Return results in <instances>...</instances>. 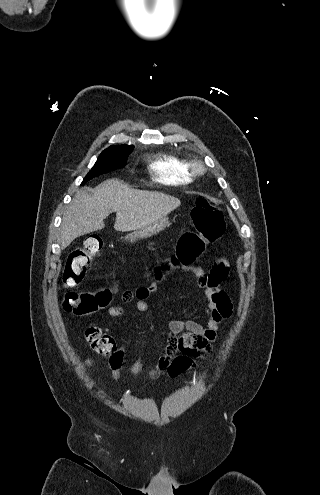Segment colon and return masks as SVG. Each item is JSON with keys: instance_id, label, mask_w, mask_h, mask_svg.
<instances>
[{"instance_id": "colon-1", "label": "colon", "mask_w": 320, "mask_h": 495, "mask_svg": "<svg viewBox=\"0 0 320 495\" xmlns=\"http://www.w3.org/2000/svg\"><path fill=\"white\" fill-rule=\"evenodd\" d=\"M194 228L183 231L176 245L175 253L169 256L154 270L157 279L174 266H189L198 261L208 250L210 244L221 239L225 233V222L220 208L204 197L196 200L191 211ZM103 247L100 235H89L81 246L76 248L68 257L62 283L67 289H74L80 285L91 268L95 256ZM113 289L96 292L68 291L65 293L62 306L66 311L78 315H91L106 307L112 296ZM139 296V294L137 295ZM86 341L91 349L102 356H111V363H118L115 353L116 344L113 337L102 332L96 326H89L85 331Z\"/></svg>"}]
</instances>
